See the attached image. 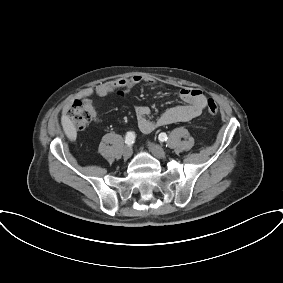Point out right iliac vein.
<instances>
[{
	"instance_id": "1",
	"label": "right iliac vein",
	"mask_w": 283,
	"mask_h": 283,
	"mask_svg": "<svg viewBox=\"0 0 283 283\" xmlns=\"http://www.w3.org/2000/svg\"><path fill=\"white\" fill-rule=\"evenodd\" d=\"M132 155V149L129 146H125L123 148V156L124 158H129Z\"/></svg>"
}]
</instances>
